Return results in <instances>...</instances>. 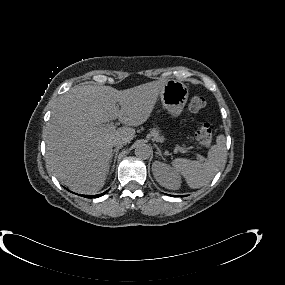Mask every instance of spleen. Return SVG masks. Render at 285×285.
Here are the masks:
<instances>
[{"label":"spleen","instance_id":"spleen-1","mask_svg":"<svg viewBox=\"0 0 285 285\" xmlns=\"http://www.w3.org/2000/svg\"><path fill=\"white\" fill-rule=\"evenodd\" d=\"M225 157V137L218 135L216 144L209 150L204 163L176 158L172 161V169L175 173L182 175L191 188L198 189L211 182Z\"/></svg>","mask_w":285,"mask_h":285}]
</instances>
